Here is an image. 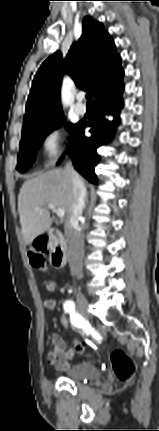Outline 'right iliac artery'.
<instances>
[{"label": "right iliac artery", "instance_id": "1", "mask_svg": "<svg viewBox=\"0 0 159 431\" xmlns=\"http://www.w3.org/2000/svg\"><path fill=\"white\" fill-rule=\"evenodd\" d=\"M64 310L70 314L71 322L74 326L83 328L87 334L91 332L90 325L76 312L75 303L73 301H66L64 303Z\"/></svg>", "mask_w": 159, "mask_h": 431}]
</instances>
